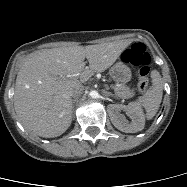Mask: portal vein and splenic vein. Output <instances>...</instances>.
<instances>
[{
  "instance_id": "portal-vein-and-splenic-vein-1",
  "label": "portal vein and splenic vein",
  "mask_w": 187,
  "mask_h": 187,
  "mask_svg": "<svg viewBox=\"0 0 187 187\" xmlns=\"http://www.w3.org/2000/svg\"><path fill=\"white\" fill-rule=\"evenodd\" d=\"M77 76H78V74H73V75H70V76H67V77H77ZM60 77H63V78H64L65 76H62V75H61Z\"/></svg>"
}]
</instances>
